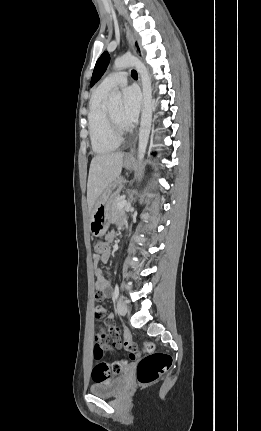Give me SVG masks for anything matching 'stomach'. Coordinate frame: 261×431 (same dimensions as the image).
I'll use <instances>...</instances> for the list:
<instances>
[{
    "label": "stomach",
    "mask_w": 261,
    "mask_h": 431,
    "mask_svg": "<svg viewBox=\"0 0 261 431\" xmlns=\"http://www.w3.org/2000/svg\"><path fill=\"white\" fill-rule=\"evenodd\" d=\"M123 165L126 169H131L133 160L131 158H125ZM121 187L122 180L118 178L96 201L95 206L92 209L89 224L92 235L101 237L107 232L111 222V202L118 194Z\"/></svg>",
    "instance_id": "obj_1"
}]
</instances>
